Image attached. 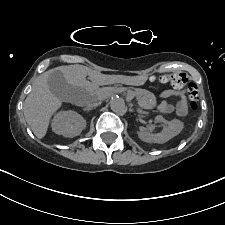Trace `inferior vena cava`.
Here are the masks:
<instances>
[{
    "instance_id": "602c4592",
    "label": "inferior vena cava",
    "mask_w": 225,
    "mask_h": 225,
    "mask_svg": "<svg viewBox=\"0 0 225 225\" xmlns=\"http://www.w3.org/2000/svg\"><path fill=\"white\" fill-rule=\"evenodd\" d=\"M103 97L101 96H98L94 99V101L92 103H89L88 104V108H94V107H97L98 105L101 104V101H102Z\"/></svg>"
}]
</instances>
